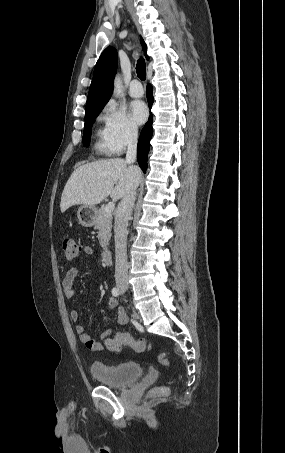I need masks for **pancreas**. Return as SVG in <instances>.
Listing matches in <instances>:
<instances>
[{"mask_svg": "<svg viewBox=\"0 0 285 453\" xmlns=\"http://www.w3.org/2000/svg\"><path fill=\"white\" fill-rule=\"evenodd\" d=\"M112 219V214L105 212L104 208H100L96 212L94 228L99 230L98 240L104 250L107 249L111 237Z\"/></svg>", "mask_w": 285, "mask_h": 453, "instance_id": "1", "label": "pancreas"}]
</instances>
